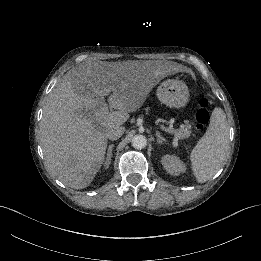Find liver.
I'll return each mask as SVG.
<instances>
[{"label": "liver", "instance_id": "liver-1", "mask_svg": "<svg viewBox=\"0 0 261 261\" xmlns=\"http://www.w3.org/2000/svg\"><path fill=\"white\" fill-rule=\"evenodd\" d=\"M167 70L151 64H87L70 69L43 107L45 166L64 185L86 188L104 162L107 132L129 119ZM108 97L109 111L104 97Z\"/></svg>", "mask_w": 261, "mask_h": 261}]
</instances>
